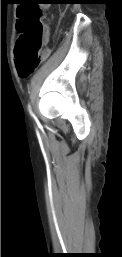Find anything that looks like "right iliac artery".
<instances>
[{"mask_svg": "<svg viewBox=\"0 0 122 257\" xmlns=\"http://www.w3.org/2000/svg\"><path fill=\"white\" fill-rule=\"evenodd\" d=\"M29 112H30L31 116H32L35 120H37L36 117H35V115H34L33 112L31 111L30 106H29Z\"/></svg>", "mask_w": 122, "mask_h": 257, "instance_id": "1", "label": "right iliac artery"}]
</instances>
